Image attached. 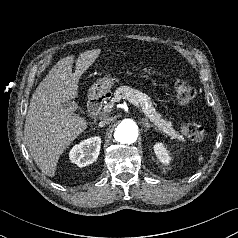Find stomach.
I'll list each match as a JSON object with an SVG mask.
<instances>
[{"mask_svg": "<svg viewBox=\"0 0 238 238\" xmlns=\"http://www.w3.org/2000/svg\"><path fill=\"white\" fill-rule=\"evenodd\" d=\"M114 83L115 79L112 76H105L90 87L89 95L92 97L104 96L106 93L110 92Z\"/></svg>", "mask_w": 238, "mask_h": 238, "instance_id": "1", "label": "stomach"}]
</instances>
